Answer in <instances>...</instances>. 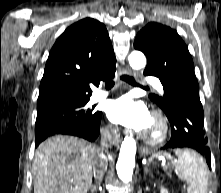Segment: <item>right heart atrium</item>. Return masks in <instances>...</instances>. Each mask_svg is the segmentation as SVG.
<instances>
[{
    "instance_id": "right-heart-atrium-1",
    "label": "right heart atrium",
    "mask_w": 221,
    "mask_h": 193,
    "mask_svg": "<svg viewBox=\"0 0 221 193\" xmlns=\"http://www.w3.org/2000/svg\"><path fill=\"white\" fill-rule=\"evenodd\" d=\"M102 133L106 137H114L117 131L112 125H106L102 129Z\"/></svg>"
}]
</instances>
